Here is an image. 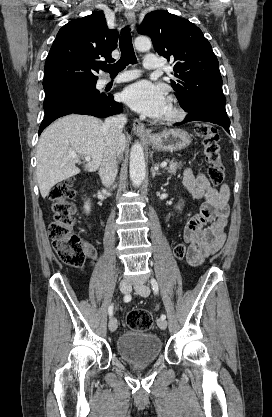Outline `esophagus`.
Returning a JSON list of instances; mask_svg holds the SVG:
<instances>
[{
  "label": "esophagus",
  "mask_w": 272,
  "mask_h": 417,
  "mask_svg": "<svg viewBox=\"0 0 272 417\" xmlns=\"http://www.w3.org/2000/svg\"><path fill=\"white\" fill-rule=\"evenodd\" d=\"M125 17L128 21V23L131 25V28L133 29L135 25V13L133 10L128 9L125 11ZM132 129L134 133L140 136H150L149 131L145 128L144 124L139 121L138 119H135L132 125Z\"/></svg>",
  "instance_id": "esophagus-1"
}]
</instances>
